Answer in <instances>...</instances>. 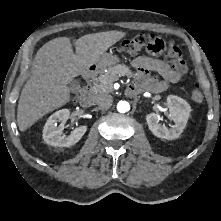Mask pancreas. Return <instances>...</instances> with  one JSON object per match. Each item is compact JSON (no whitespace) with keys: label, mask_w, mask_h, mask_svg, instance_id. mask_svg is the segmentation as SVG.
Listing matches in <instances>:
<instances>
[{"label":"pancreas","mask_w":221,"mask_h":221,"mask_svg":"<svg viewBox=\"0 0 221 221\" xmlns=\"http://www.w3.org/2000/svg\"><path fill=\"white\" fill-rule=\"evenodd\" d=\"M121 76L133 77L134 74L130 68L124 64H119L108 68L107 72L101 74L97 78V82L93 86L94 93H110L113 92V83Z\"/></svg>","instance_id":"cf45deb5"}]
</instances>
